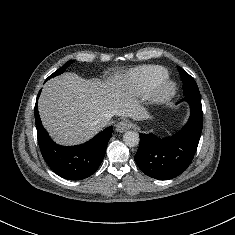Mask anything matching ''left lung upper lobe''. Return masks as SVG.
Here are the masks:
<instances>
[{"mask_svg":"<svg viewBox=\"0 0 235 235\" xmlns=\"http://www.w3.org/2000/svg\"><path fill=\"white\" fill-rule=\"evenodd\" d=\"M178 69H179V73H180L182 81L183 82L188 81L193 89L194 94L200 96V92H199V89L197 87L195 80L187 72H185L181 67H178Z\"/></svg>","mask_w":235,"mask_h":235,"instance_id":"obj_1","label":"left lung upper lobe"}]
</instances>
